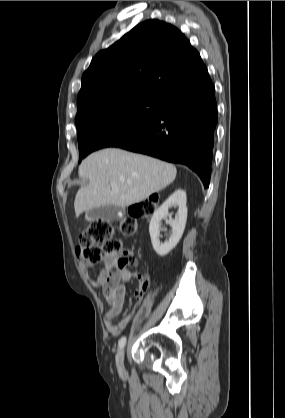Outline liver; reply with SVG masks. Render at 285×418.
I'll return each instance as SVG.
<instances>
[{"mask_svg": "<svg viewBox=\"0 0 285 418\" xmlns=\"http://www.w3.org/2000/svg\"><path fill=\"white\" fill-rule=\"evenodd\" d=\"M78 173L89 184L75 196L76 216L95 207H127L143 201L172 183L177 170L149 156L107 148L85 158Z\"/></svg>", "mask_w": 285, "mask_h": 418, "instance_id": "obj_1", "label": "liver"}]
</instances>
